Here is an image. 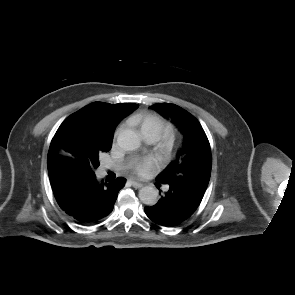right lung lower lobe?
Returning a JSON list of instances; mask_svg holds the SVG:
<instances>
[{
  "label": "right lung lower lobe",
  "instance_id": "right-lung-lower-lobe-1",
  "mask_svg": "<svg viewBox=\"0 0 295 295\" xmlns=\"http://www.w3.org/2000/svg\"><path fill=\"white\" fill-rule=\"evenodd\" d=\"M49 172L54 196L59 206L80 224H95L111 213L125 179H96L95 173L59 165Z\"/></svg>",
  "mask_w": 295,
  "mask_h": 295
}]
</instances>
